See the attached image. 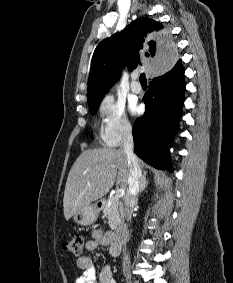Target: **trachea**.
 <instances>
[{
  "label": "trachea",
  "instance_id": "3493384b",
  "mask_svg": "<svg viewBox=\"0 0 233 283\" xmlns=\"http://www.w3.org/2000/svg\"><path fill=\"white\" fill-rule=\"evenodd\" d=\"M140 83H141V84H146V83H147V79H146V76H145L144 73H142V74L140 75Z\"/></svg>",
  "mask_w": 233,
  "mask_h": 283
}]
</instances>
